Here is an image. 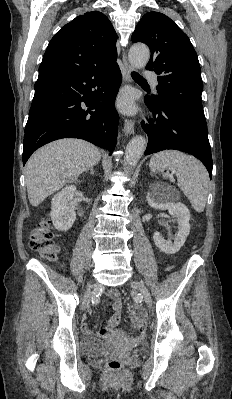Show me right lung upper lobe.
Segmentation results:
<instances>
[{
	"instance_id": "cb5924a9",
	"label": "right lung upper lobe",
	"mask_w": 232,
	"mask_h": 399,
	"mask_svg": "<svg viewBox=\"0 0 232 399\" xmlns=\"http://www.w3.org/2000/svg\"><path fill=\"white\" fill-rule=\"evenodd\" d=\"M117 34L99 11L87 12L66 24L51 39L39 72L77 71L105 66L117 59Z\"/></svg>"
}]
</instances>
